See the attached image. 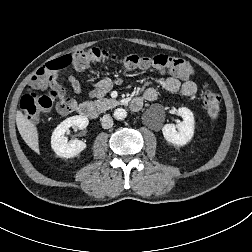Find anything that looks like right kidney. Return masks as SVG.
<instances>
[{
    "label": "right kidney",
    "instance_id": "ca27d5eb",
    "mask_svg": "<svg viewBox=\"0 0 252 252\" xmlns=\"http://www.w3.org/2000/svg\"><path fill=\"white\" fill-rule=\"evenodd\" d=\"M88 124V118L81 115L69 117L61 122L51 136V147L54 152L63 158H72L81 153L86 148V143L80 140L68 141L65 133L70 127L84 129Z\"/></svg>",
    "mask_w": 252,
    "mask_h": 252
}]
</instances>
